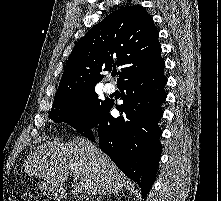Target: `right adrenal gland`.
I'll return each mask as SVG.
<instances>
[{"instance_id":"right-adrenal-gland-1","label":"right adrenal gland","mask_w":221,"mask_h":201,"mask_svg":"<svg viewBox=\"0 0 221 201\" xmlns=\"http://www.w3.org/2000/svg\"><path fill=\"white\" fill-rule=\"evenodd\" d=\"M119 192H120V191H112V192H110V193H108V192L102 193V194H100V196L96 199V201H100V199L102 198V196H108V195H111V194H116V195H118Z\"/></svg>"}]
</instances>
